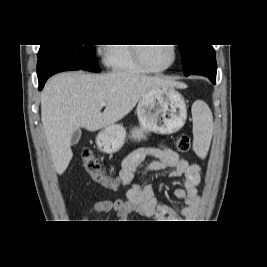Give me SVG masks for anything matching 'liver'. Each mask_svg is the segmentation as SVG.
Instances as JSON below:
<instances>
[{
  "label": "liver",
  "mask_w": 267,
  "mask_h": 267,
  "mask_svg": "<svg viewBox=\"0 0 267 267\" xmlns=\"http://www.w3.org/2000/svg\"><path fill=\"white\" fill-rule=\"evenodd\" d=\"M163 87L187 86L167 77L128 72H65L50 78L41 94V121L56 172L63 174L73 157L70 145L75 130L93 132L113 125L148 91ZM101 102H106L103 112Z\"/></svg>",
  "instance_id": "obj_1"
}]
</instances>
